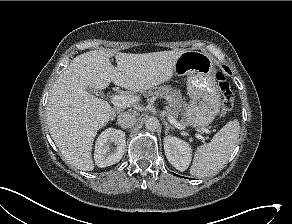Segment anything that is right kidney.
I'll list each match as a JSON object with an SVG mask.
<instances>
[{
  "mask_svg": "<svg viewBox=\"0 0 292 224\" xmlns=\"http://www.w3.org/2000/svg\"><path fill=\"white\" fill-rule=\"evenodd\" d=\"M108 142H114L117 147L110 150ZM125 133L121 130L108 128L97 138L94 151V160L98 167L105 168L118 163L125 152Z\"/></svg>",
  "mask_w": 292,
  "mask_h": 224,
  "instance_id": "1",
  "label": "right kidney"
}]
</instances>
